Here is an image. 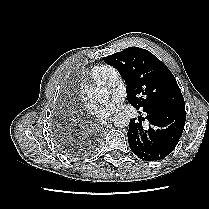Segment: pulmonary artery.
Listing matches in <instances>:
<instances>
[{"label":"pulmonary artery","instance_id":"obj_1","mask_svg":"<svg viewBox=\"0 0 209 209\" xmlns=\"http://www.w3.org/2000/svg\"><path fill=\"white\" fill-rule=\"evenodd\" d=\"M117 82H118V74L114 69H112L107 75L106 84L115 85Z\"/></svg>","mask_w":209,"mask_h":209}]
</instances>
